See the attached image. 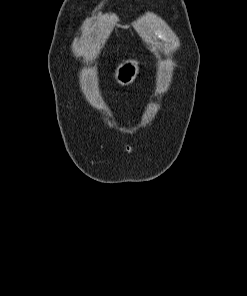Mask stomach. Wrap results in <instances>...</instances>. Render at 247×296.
Listing matches in <instances>:
<instances>
[{
    "instance_id": "obj_1",
    "label": "stomach",
    "mask_w": 247,
    "mask_h": 296,
    "mask_svg": "<svg viewBox=\"0 0 247 296\" xmlns=\"http://www.w3.org/2000/svg\"><path fill=\"white\" fill-rule=\"evenodd\" d=\"M139 73L138 62L128 60L122 62L115 70L114 79L121 86L133 83Z\"/></svg>"
}]
</instances>
